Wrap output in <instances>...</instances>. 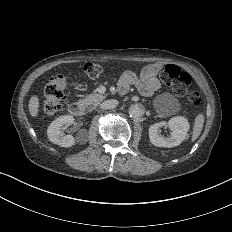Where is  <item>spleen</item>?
Here are the masks:
<instances>
[{"mask_svg": "<svg viewBox=\"0 0 232 232\" xmlns=\"http://www.w3.org/2000/svg\"><path fill=\"white\" fill-rule=\"evenodd\" d=\"M203 122H204V120L201 116L197 117L196 123H195V128L193 131V138L194 139H196L199 136V134L201 133Z\"/></svg>", "mask_w": 232, "mask_h": 232, "instance_id": "1", "label": "spleen"}]
</instances>
